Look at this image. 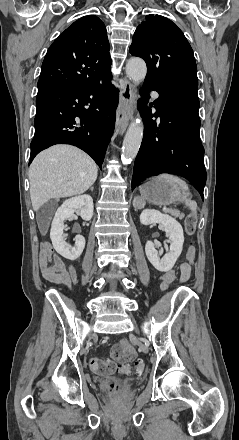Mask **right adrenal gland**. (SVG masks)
<instances>
[{"label": "right adrenal gland", "mask_w": 239, "mask_h": 440, "mask_svg": "<svg viewBox=\"0 0 239 440\" xmlns=\"http://www.w3.org/2000/svg\"><path fill=\"white\" fill-rule=\"evenodd\" d=\"M90 190H92V192H93L94 188H90Z\"/></svg>", "instance_id": "obj_1"}]
</instances>
